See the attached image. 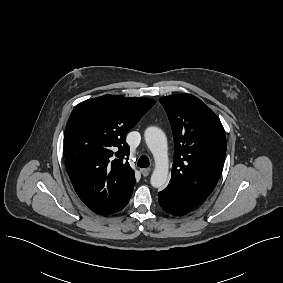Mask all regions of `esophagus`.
<instances>
[{"instance_id":"34e87169","label":"esophagus","mask_w":283,"mask_h":283,"mask_svg":"<svg viewBox=\"0 0 283 283\" xmlns=\"http://www.w3.org/2000/svg\"><path fill=\"white\" fill-rule=\"evenodd\" d=\"M140 172L142 173V175L144 177H147L149 175V173H150V169L142 168V169H140Z\"/></svg>"}]
</instances>
